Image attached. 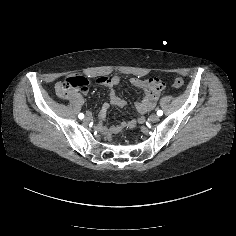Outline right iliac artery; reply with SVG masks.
Masks as SVG:
<instances>
[{"mask_svg":"<svg viewBox=\"0 0 236 236\" xmlns=\"http://www.w3.org/2000/svg\"><path fill=\"white\" fill-rule=\"evenodd\" d=\"M78 117H79V119H83V118H84V114H83V113H80V114L78 115Z\"/></svg>","mask_w":236,"mask_h":236,"instance_id":"right-iliac-artery-1","label":"right iliac artery"}]
</instances>
